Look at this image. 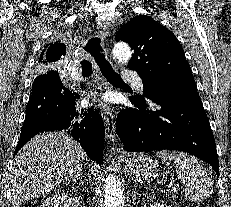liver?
I'll return each instance as SVG.
<instances>
[{
	"mask_svg": "<svg viewBox=\"0 0 231 207\" xmlns=\"http://www.w3.org/2000/svg\"><path fill=\"white\" fill-rule=\"evenodd\" d=\"M86 153L63 132L39 133L15 157L9 176L12 207L53 190L82 168Z\"/></svg>",
	"mask_w": 231,
	"mask_h": 207,
	"instance_id": "6515ba94",
	"label": "liver"
}]
</instances>
